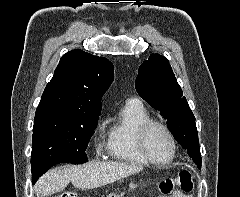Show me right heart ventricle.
<instances>
[{"label": "right heart ventricle", "mask_w": 240, "mask_h": 197, "mask_svg": "<svg viewBox=\"0 0 240 197\" xmlns=\"http://www.w3.org/2000/svg\"><path fill=\"white\" fill-rule=\"evenodd\" d=\"M150 115L141 102H126L107 133V153L117 161L132 165H146L136 144V131Z\"/></svg>", "instance_id": "obj_1"}]
</instances>
